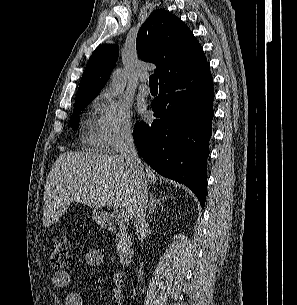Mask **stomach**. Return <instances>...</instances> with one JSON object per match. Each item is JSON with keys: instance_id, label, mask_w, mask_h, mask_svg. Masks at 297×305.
<instances>
[{"instance_id": "stomach-1", "label": "stomach", "mask_w": 297, "mask_h": 305, "mask_svg": "<svg viewBox=\"0 0 297 305\" xmlns=\"http://www.w3.org/2000/svg\"><path fill=\"white\" fill-rule=\"evenodd\" d=\"M93 218L97 223H102V214L96 210L93 211Z\"/></svg>"}]
</instances>
